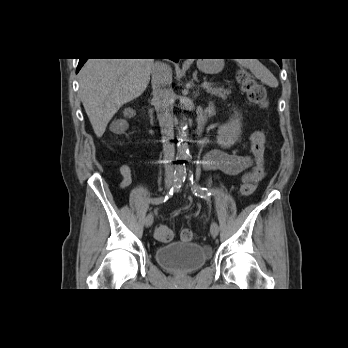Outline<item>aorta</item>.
Segmentation results:
<instances>
[{
  "label": "aorta",
  "mask_w": 348,
  "mask_h": 348,
  "mask_svg": "<svg viewBox=\"0 0 348 348\" xmlns=\"http://www.w3.org/2000/svg\"><path fill=\"white\" fill-rule=\"evenodd\" d=\"M187 127L185 125L184 121L180 122V129L178 133V143H177V150L178 154L183 157L187 158L190 153H189V147L187 144Z\"/></svg>",
  "instance_id": "aorta-1"
}]
</instances>
